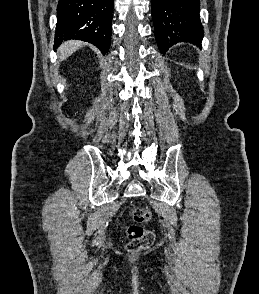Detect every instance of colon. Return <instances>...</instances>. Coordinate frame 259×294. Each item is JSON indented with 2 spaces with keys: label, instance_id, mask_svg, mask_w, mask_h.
Wrapping results in <instances>:
<instances>
[{
  "label": "colon",
  "instance_id": "1",
  "mask_svg": "<svg viewBox=\"0 0 259 294\" xmlns=\"http://www.w3.org/2000/svg\"><path fill=\"white\" fill-rule=\"evenodd\" d=\"M133 224L127 226V249L130 252H138L149 248L154 242V233L145 228L151 218V212L145 207H135L131 212Z\"/></svg>",
  "mask_w": 259,
  "mask_h": 294
}]
</instances>
